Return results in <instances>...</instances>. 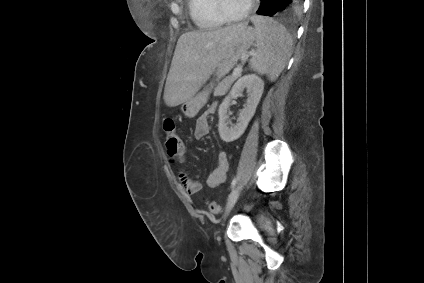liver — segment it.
<instances>
[{
  "mask_svg": "<svg viewBox=\"0 0 424 283\" xmlns=\"http://www.w3.org/2000/svg\"><path fill=\"white\" fill-rule=\"evenodd\" d=\"M247 23L188 31L177 42L166 80L164 101L175 107L194 96L214 72L233 39Z\"/></svg>",
  "mask_w": 424,
  "mask_h": 283,
  "instance_id": "obj_1",
  "label": "liver"
}]
</instances>
